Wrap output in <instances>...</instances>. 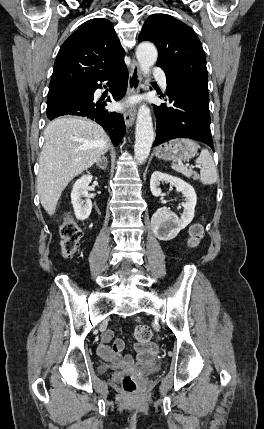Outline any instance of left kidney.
Masks as SVG:
<instances>
[{
    "mask_svg": "<svg viewBox=\"0 0 264 429\" xmlns=\"http://www.w3.org/2000/svg\"><path fill=\"white\" fill-rule=\"evenodd\" d=\"M160 182L170 183L185 196L186 201L182 203L184 212L180 218L166 207L159 208L151 218V228L155 236L159 240L169 241L193 220L197 196L194 188L181 178L155 171L150 180L151 193L155 197L161 195Z\"/></svg>",
    "mask_w": 264,
    "mask_h": 429,
    "instance_id": "1",
    "label": "left kidney"
}]
</instances>
